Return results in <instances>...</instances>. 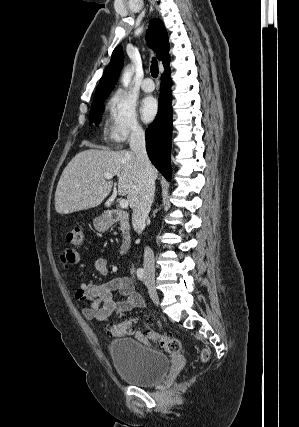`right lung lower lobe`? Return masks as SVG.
<instances>
[{
	"label": "right lung lower lobe",
	"instance_id": "obj_1",
	"mask_svg": "<svg viewBox=\"0 0 299 427\" xmlns=\"http://www.w3.org/2000/svg\"><path fill=\"white\" fill-rule=\"evenodd\" d=\"M170 70L162 76L159 110L146 130V149L153 165L170 180V152L172 136V108Z\"/></svg>",
	"mask_w": 299,
	"mask_h": 427
}]
</instances>
